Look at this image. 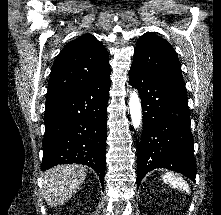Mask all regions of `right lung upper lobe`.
<instances>
[{
    "instance_id": "right-lung-upper-lobe-1",
    "label": "right lung upper lobe",
    "mask_w": 221,
    "mask_h": 215,
    "mask_svg": "<svg viewBox=\"0 0 221 215\" xmlns=\"http://www.w3.org/2000/svg\"><path fill=\"white\" fill-rule=\"evenodd\" d=\"M108 52L92 35L68 43L55 60L47 102L69 95L110 74Z\"/></svg>"
}]
</instances>
